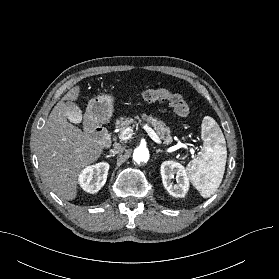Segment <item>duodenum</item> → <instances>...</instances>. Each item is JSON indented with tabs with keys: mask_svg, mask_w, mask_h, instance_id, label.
Returning <instances> with one entry per match:
<instances>
[{
	"mask_svg": "<svg viewBox=\"0 0 279 279\" xmlns=\"http://www.w3.org/2000/svg\"><path fill=\"white\" fill-rule=\"evenodd\" d=\"M90 135L97 139L103 146L111 145V136L108 130L103 126H96L90 130Z\"/></svg>",
	"mask_w": 279,
	"mask_h": 279,
	"instance_id": "duodenum-1",
	"label": "duodenum"
}]
</instances>
